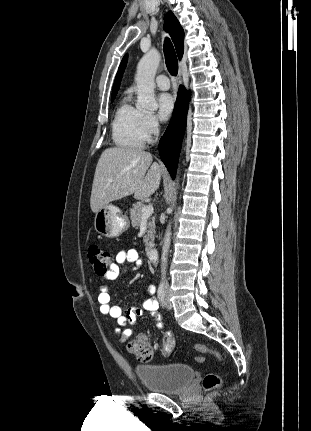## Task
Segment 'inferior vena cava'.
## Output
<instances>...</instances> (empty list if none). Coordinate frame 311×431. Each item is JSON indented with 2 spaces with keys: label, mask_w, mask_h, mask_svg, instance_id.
<instances>
[{
  "label": "inferior vena cava",
  "mask_w": 311,
  "mask_h": 431,
  "mask_svg": "<svg viewBox=\"0 0 311 431\" xmlns=\"http://www.w3.org/2000/svg\"><path fill=\"white\" fill-rule=\"evenodd\" d=\"M164 283H165V287H168V283H167L166 279H164Z\"/></svg>",
  "instance_id": "obj_1"
}]
</instances>
